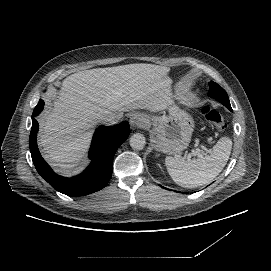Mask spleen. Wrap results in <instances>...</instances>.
Here are the masks:
<instances>
[{
  "label": "spleen",
  "instance_id": "spleen-1",
  "mask_svg": "<svg viewBox=\"0 0 271 271\" xmlns=\"http://www.w3.org/2000/svg\"><path fill=\"white\" fill-rule=\"evenodd\" d=\"M231 148V138L223 136L212 147L209 154L193 161L167 156L165 166L176 184L189 188L201 186L210 182L222 171L230 156Z\"/></svg>",
  "mask_w": 271,
  "mask_h": 271
}]
</instances>
